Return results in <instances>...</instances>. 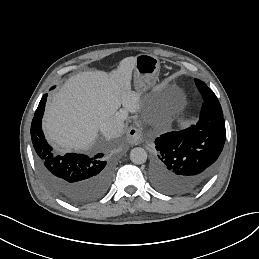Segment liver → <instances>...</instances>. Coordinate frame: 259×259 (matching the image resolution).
Returning a JSON list of instances; mask_svg holds the SVG:
<instances>
[{"instance_id": "6515ba94", "label": "liver", "mask_w": 259, "mask_h": 259, "mask_svg": "<svg viewBox=\"0 0 259 259\" xmlns=\"http://www.w3.org/2000/svg\"><path fill=\"white\" fill-rule=\"evenodd\" d=\"M136 62L129 57L109 74L97 70L71 76L46 105L42 128L47 141L64 152L85 150L95 142L101 123L132 94Z\"/></svg>"}]
</instances>
